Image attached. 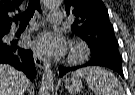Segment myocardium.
<instances>
[{
	"mask_svg": "<svg viewBox=\"0 0 135 95\" xmlns=\"http://www.w3.org/2000/svg\"><path fill=\"white\" fill-rule=\"evenodd\" d=\"M90 48L85 41L75 40L71 43L67 60L70 63H79L89 56Z\"/></svg>",
	"mask_w": 135,
	"mask_h": 95,
	"instance_id": "1",
	"label": "myocardium"
}]
</instances>
